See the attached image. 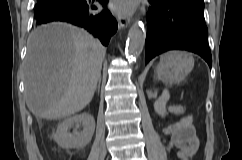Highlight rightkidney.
<instances>
[{
	"instance_id": "right-kidney-1",
	"label": "right kidney",
	"mask_w": 242,
	"mask_h": 160,
	"mask_svg": "<svg viewBox=\"0 0 242 160\" xmlns=\"http://www.w3.org/2000/svg\"><path fill=\"white\" fill-rule=\"evenodd\" d=\"M74 125H82L83 130L71 134L68 130ZM94 131L95 120L93 116L88 113H81L61 122L53 134V139L62 148H83L90 143Z\"/></svg>"
}]
</instances>
